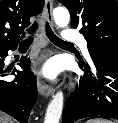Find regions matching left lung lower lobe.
Here are the masks:
<instances>
[{
  "instance_id": "0a47b994",
  "label": "left lung lower lobe",
  "mask_w": 118,
  "mask_h": 123,
  "mask_svg": "<svg viewBox=\"0 0 118 123\" xmlns=\"http://www.w3.org/2000/svg\"><path fill=\"white\" fill-rule=\"evenodd\" d=\"M94 72L79 65L85 72L80 76L75 94L64 111L62 123L79 119L106 116L118 119V59L91 55Z\"/></svg>"
}]
</instances>
